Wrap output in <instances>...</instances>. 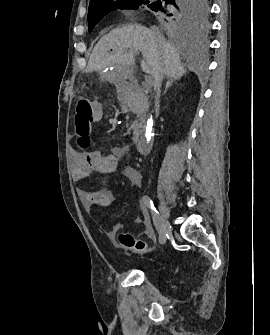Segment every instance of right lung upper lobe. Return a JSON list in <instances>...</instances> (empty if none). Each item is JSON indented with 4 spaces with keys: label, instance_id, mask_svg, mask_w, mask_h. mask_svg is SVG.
<instances>
[{
    "label": "right lung upper lobe",
    "instance_id": "obj_1",
    "mask_svg": "<svg viewBox=\"0 0 270 335\" xmlns=\"http://www.w3.org/2000/svg\"><path fill=\"white\" fill-rule=\"evenodd\" d=\"M116 1H119V0H91L89 7H97L100 5H104V4H108V3H112Z\"/></svg>",
    "mask_w": 270,
    "mask_h": 335
}]
</instances>
